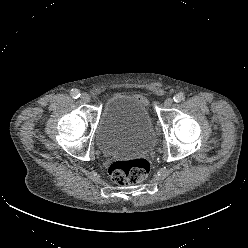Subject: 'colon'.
Listing matches in <instances>:
<instances>
[{
  "label": "colon",
  "instance_id": "colon-1",
  "mask_svg": "<svg viewBox=\"0 0 248 248\" xmlns=\"http://www.w3.org/2000/svg\"><path fill=\"white\" fill-rule=\"evenodd\" d=\"M149 172L150 163L144 158L115 161L109 167V175L118 185L139 183L148 176Z\"/></svg>",
  "mask_w": 248,
  "mask_h": 248
}]
</instances>
